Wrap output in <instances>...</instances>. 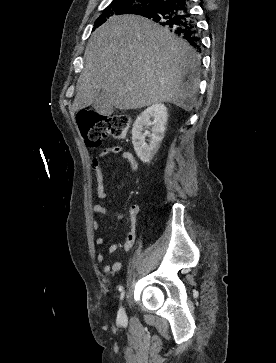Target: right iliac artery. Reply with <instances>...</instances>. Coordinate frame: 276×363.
<instances>
[{
    "mask_svg": "<svg viewBox=\"0 0 276 363\" xmlns=\"http://www.w3.org/2000/svg\"><path fill=\"white\" fill-rule=\"evenodd\" d=\"M119 291H120V300H123L124 295H125L124 287L119 286Z\"/></svg>",
    "mask_w": 276,
    "mask_h": 363,
    "instance_id": "82829eb1",
    "label": "right iliac artery"
}]
</instances>
